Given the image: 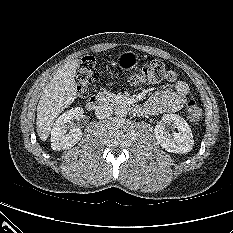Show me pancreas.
Masks as SVG:
<instances>
[{
    "label": "pancreas",
    "instance_id": "cf45deb5",
    "mask_svg": "<svg viewBox=\"0 0 233 233\" xmlns=\"http://www.w3.org/2000/svg\"><path fill=\"white\" fill-rule=\"evenodd\" d=\"M98 97L105 102H111L116 99V95L109 91L99 92Z\"/></svg>",
    "mask_w": 233,
    "mask_h": 233
}]
</instances>
